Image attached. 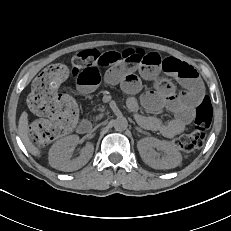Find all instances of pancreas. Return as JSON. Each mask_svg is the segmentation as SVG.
<instances>
[{
  "label": "pancreas",
  "instance_id": "pancreas-1",
  "mask_svg": "<svg viewBox=\"0 0 231 231\" xmlns=\"http://www.w3.org/2000/svg\"><path fill=\"white\" fill-rule=\"evenodd\" d=\"M102 111H103V109H101ZM103 117V113H100L98 116H97V118L98 119H100V118H102Z\"/></svg>",
  "mask_w": 231,
  "mask_h": 231
}]
</instances>
